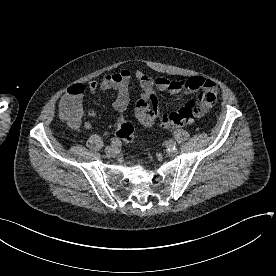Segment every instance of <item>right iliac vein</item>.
<instances>
[{"label":"right iliac vein","mask_w":276,"mask_h":276,"mask_svg":"<svg viewBox=\"0 0 276 276\" xmlns=\"http://www.w3.org/2000/svg\"><path fill=\"white\" fill-rule=\"evenodd\" d=\"M118 149H119V146H107L105 148V152L107 154H114V153H116L118 151Z\"/></svg>","instance_id":"obj_1"}]
</instances>
